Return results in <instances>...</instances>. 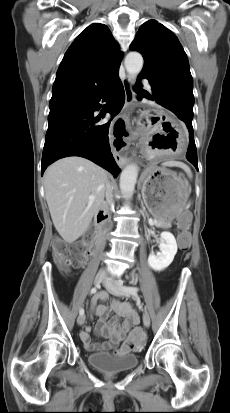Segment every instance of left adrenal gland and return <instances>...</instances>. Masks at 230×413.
Returning a JSON list of instances; mask_svg holds the SVG:
<instances>
[{"label":"left adrenal gland","instance_id":"a2214340","mask_svg":"<svg viewBox=\"0 0 230 413\" xmlns=\"http://www.w3.org/2000/svg\"><path fill=\"white\" fill-rule=\"evenodd\" d=\"M142 207H143L144 212L146 213V216L148 217V214H147V212H146V210H145V208H144V206H143V203H142Z\"/></svg>","mask_w":230,"mask_h":413}]
</instances>
